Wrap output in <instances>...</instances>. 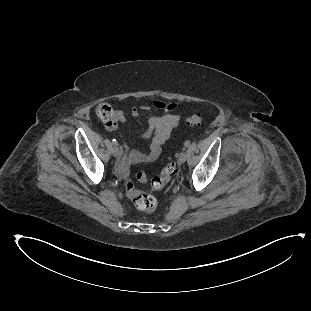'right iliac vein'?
<instances>
[{
  "instance_id": "1",
  "label": "right iliac vein",
  "mask_w": 311,
  "mask_h": 311,
  "mask_svg": "<svg viewBox=\"0 0 311 311\" xmlns=\"http://www.w3.org/2000/svg\"><path fill=\"white\" fill-rule=\"evenodd\" d=\"M112 154L114 157H118L120 154L119 148L117 146H114V148L112 149Z\"/></svg>"
}]
</instances>
